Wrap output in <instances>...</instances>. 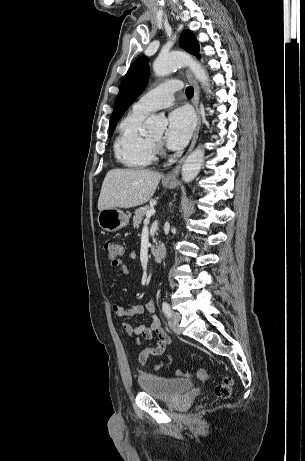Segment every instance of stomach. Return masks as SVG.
Masks as SVG:
<instances>
[{
  "label": "stomach",
  "mask_w": 305,
  "mask_h": 461,
  "mask_svg": "<svg viewBox=\"0 0 305 461\" xmlns=\"http://www.w3.org/2000/svg\"><path fill=\"white\" fill-rule=\"evenodd\" d=\"M165 187H172L173 183L163 182ZM99 226L107 232H116L129 224V216L118 208L104 209L98 214Z\"/></svg>",
  "instance_id": "0dacf381"
}]
</instances>
